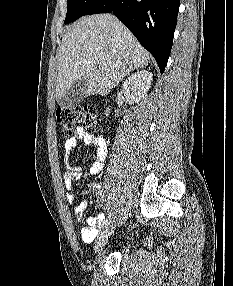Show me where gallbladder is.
<instances>
[{
	"instance_id": "gallbladder-1",
	"label": "gallbladder",
	"mask_w": 233,
	"mask_h": 286,
	"mask_svg": "<svg viewBox=\"0 0 233 286\" xmlns=\"http://www.w3.org/2000/svg\"><path fill=\"white\" fill-rule=\"evenodd\" d=\"M88 89V82L85 78H80L75 81L67 92L58 100V105L61 108H72L77 106L86 97V91Z\"/></svg>"
}]
</instances>
